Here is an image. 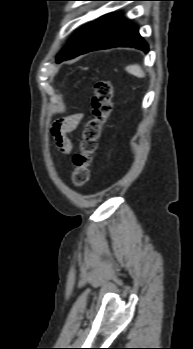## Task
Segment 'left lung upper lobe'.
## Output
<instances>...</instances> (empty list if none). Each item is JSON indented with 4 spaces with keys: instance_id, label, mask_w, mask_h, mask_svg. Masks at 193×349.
<instances>
[{
    "instance_id": "5c2ea615",
    "label": "left lung upper lobe",
    "mask_w": 193,
    "mask_h": 349,
    "mask_svg": "<svg viewBox=\"0 0 193 349\" xmlns=\"http://www.w3.org/2000/svg\"><path fill=\"white\" fill-rule=\"evenodd\" d=\"M91 24H87L84 27H82L80 30H78L76 32V34L71 38V40L69 41V43L66 45V47L59 53L58 57H60L61 55H63L64 53L68 52L69 50H71L75 44L80 40V38L82 37V35L84 34V32L87 30V28L90 26Z\"/></svg>"
}]
</instances>
